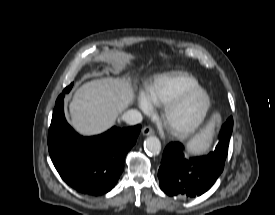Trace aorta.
Returning a JSON list of instances; mask_svg holds the SVG:
<instances>
[{"instance_id": "762f6f07", "label": "aorta", "mask_w": 275, "mask_h": 215, "mask_svg": "<svg viewBox=\"0 0 275 215\" xmlns=\"http://www.w3.org/2000/svg\"><path fill=\"white\" fill-rule=\"evenodd\" d=\"M144 149L147 154L157 156L161 152V143L156 136L148 137L144 142Z\"/></svg>"}]
</instances>
